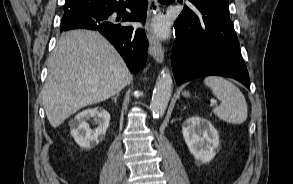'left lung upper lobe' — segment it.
I'll use <instances>...</instances> for the list:
<instances>
[{"label":"left lung upper lobe","instance_id":"obj_1","mask_svg":"<svg viewBox=\"0 0 293 184\" xmlns=\"http://www.w3.org/2000/svg\"><path fill=\"white\" fill-rule=\"evenodd\" d=\"M189 1H197V0H189ZM202 1L207 2L212 6L221 7L229 11L228 0H202Z\"/></svg>","mask_w":293,"mask_h":184}]
</instances>
